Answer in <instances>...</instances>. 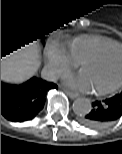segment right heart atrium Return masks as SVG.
Listing matches in <instances>:
<instances>
[{
	"label": "right heart atrium",
	"mask_w": 122,
	"mask_h": 154,
	"mask_svg": "<svg viewBox=\"0 0 122 154\" xmlns=\"http://www.w3.org/2000/svg\"><path fill=\"white\" fill-rule=\"evenodd\" d=\"M78 62L71 56L65 45L52 43L46 51V71L50 77H58L63 72L75 68Z\"/></svg>",
	"instance_id": "obj_1"
}]
</instances>
